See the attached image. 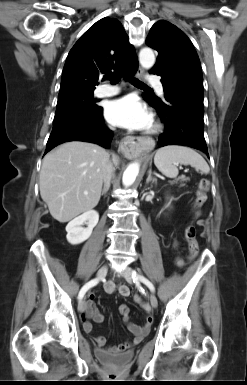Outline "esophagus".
<instances>
[{
    "instance_id": "1",
    "label": "esophagus",
    "mask_w": 247,
    "mask_h": 385,
    "mask_svg": "<svg viewBox=\"0 0 247 385\" xmlns=\"http://www.w3.org/2000/svg\"><path fill=\"white\" fill-rule=\"evenodd\" d=\"M136 75L137 77L143 76V69L141 67L138 68ZM119 148L126 157H131L138 150L140 151L142 150L140 140L131 136H128L122 139L120 142Z\"/></svg>"
}]
</instances>
